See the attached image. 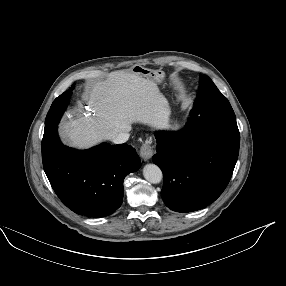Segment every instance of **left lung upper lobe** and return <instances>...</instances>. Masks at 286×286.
<instances>
[{
  "instance_id": "5c2ea615",
  "label": "left lung upper lobe",
  "mask_w": 286,
  "mask_h": 286,
  "mask_svg": "<svg viewBox=\"0 0 286 286\" xmlns=\"http://www.w3.org/2000/svg\"><path fill=\"white\" fill-rule=\"evenodd\" d=\"M191 113H213L236 118L227 98L206 75L202 76L200 90Z\"/></svg>"
}]
</instances>
